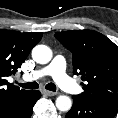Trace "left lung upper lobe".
Returning <instances> with one entry per match:
<instances>
[{
    "label": "left lung upper lobe",
    "mask_w": 118,
    "mask_h": 118,
    "mask_svg": "<svg viewBox=\"0 0 118 118\" xmlns=\"http://www.w3.org/2000/svg\"><path fill=\"white\" fill-rule=\"evenodd\" d=\"M55 37L73 54V73L81 75L78 96L118 107V46L93 30L57 32Z\"/></svg>",
    "instance_id": "5c2ea615"
}]
</instances>
